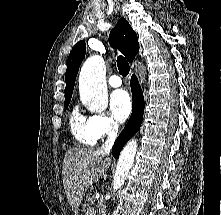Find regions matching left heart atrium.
I'll return each mask as SVG.
<instances>
[{"mask_svg": "<svg viewBox=\"0 0 221 215\" xmlns=\"http://www.w3.org/2000/svg\"><path fill=\"white\" fill-rule=\"evenodd\" d=\"M110 110L118 122H124L129 117L132 111V102L125 90H116L111 94Z\"/></svg>", "mask_w": 221, "mask_h": 215, "instance_id": "obj_1", "label": "left heart atrium"}]
</instances>
